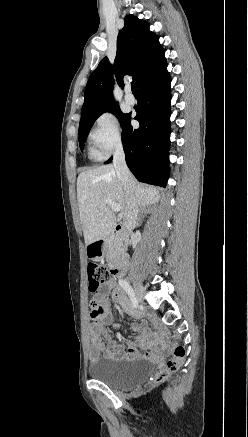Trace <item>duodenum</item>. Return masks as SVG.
Segmentation results:
<instances>
[{"mask_svg":"<svg viewBox=\"0 0 248 437\" xmlns=\"http://www.w3.org/2000/svg\"><path fill=\"white\" fill-rule=\"evenodd\" d=\"M124 231V227L121 224H117L114 226L112 233L115 235H120ZM106 245V239L100 238L92 242L87 247L86 255L87 257H98L104 250ZM127 264V258L124 255L117 256L114 262L112 263V273L115 276H119L124 270Z\"/></svg>","mask_w":248,"mask_h":437,"instance_id":"410a0bca","label":"duodenum"}]
</instances>
